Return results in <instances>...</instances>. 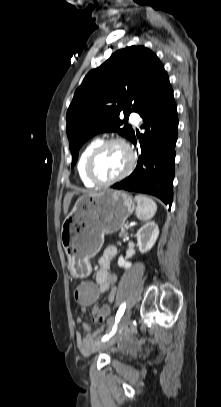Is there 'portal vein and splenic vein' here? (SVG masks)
<instances>
[{"label": "portal vein and splenic vein", "mask_w": 221, "mask_h": 407, "mask_svg": "<svg viewBox=\"0 0 221 407\" xmlns=\"http://www.w3.org/2000/svg\"><path fill=\"white\" fill-rule=\"evenodd\" d=\"M129 228V226H126V229H128Z\"/></svg>", "instance_id": "obj_1"}]
</instances>
